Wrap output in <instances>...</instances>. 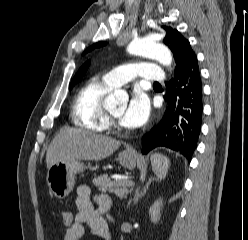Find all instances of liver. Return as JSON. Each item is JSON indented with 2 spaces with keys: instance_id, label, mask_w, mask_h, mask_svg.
<instances>
[{
  "instance_id": "liver-1",
  "label": "liver",
  "mask_w": 248,
  "mask_h": 240,
  "mask_svg": "<svg viewBox=\"0 0 248 240\" xmlns=\"http://www.w3.org/2000/svg\"><path fill=\"white\" fill-rule=\"evenodd\" d=\"M120 144V141L104 135L68 129L60 132L50 143L46 154L47 168L58 162L102 160L118 149Z\"/></svg>"
}]
</instances>
